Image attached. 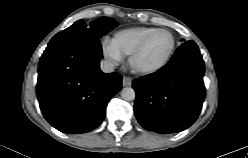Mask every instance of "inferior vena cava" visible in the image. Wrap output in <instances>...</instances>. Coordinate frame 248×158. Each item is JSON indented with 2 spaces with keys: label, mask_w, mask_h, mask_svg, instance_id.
<instances>
[{
  "label": "inferior vena cava",
  "mask_w": 248,
  "mask_h": 158,
  "mask_svg": "<svg viewBox=\"0 0 248 158\" xmlns=\"http://www.w3.org/2000/svg\"><path fill=\"white\" fill-rule=\"evenodd\" d=\"M100 68L104 73H111L114 71V63L108 60L101 61Z\"/></svg>",
  "instance_id": "obj_1"
}]
</instances>
